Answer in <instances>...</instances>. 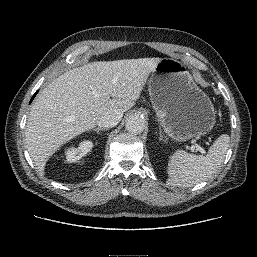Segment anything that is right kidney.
<instances>
[{"label": "right kidney", "instance_id": "obj_1", "mask_svg": "<svg viewBox=\"0 0 257 257\" xmlns=\"http://www.w3.org/2000/svg\"><path fill=\"white\" fill-rule=\"evenodd\" d=\"M93 147V143L89 140L82 141L78 147H70L65 151L68 162H76L85 156Z\"/></svg>", "mask_w": 257, "mask_h": 257}]
</instances>
